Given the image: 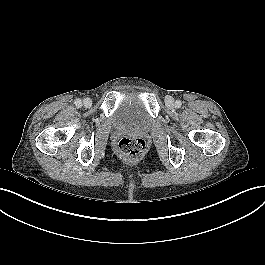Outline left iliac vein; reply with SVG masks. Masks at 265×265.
Here are the masks:
<instances>
[{
    "label": "left iliac vein",
    "instance_id": "obj_1",
    "mask_svg": "<svg viewBox=\"0 0 265 265\" xmlns=\"http://www.w3.org/2000/svg\"><path fill=\"white\" fill-rule=\"evenodd\" d=\"M165 102L169 108H172L175 105L174 99L171 96L166 97Z\"/></svg>",
    "mask_w": 265,
    "mask_h": 265
}]
</instances>
